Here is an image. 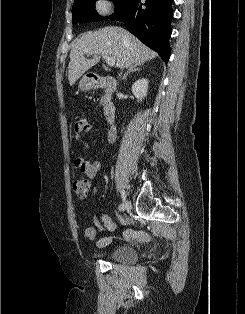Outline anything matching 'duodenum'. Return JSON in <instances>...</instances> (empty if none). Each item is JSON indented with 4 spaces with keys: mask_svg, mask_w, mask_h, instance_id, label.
<instances>
[{
    "mask_svg": "<svg viewBox=\"0 0 245 314\" xmlns=\"http://www.w3.org/2000/svg\"><path fill=\"white\" fill-rule=\"evenodd\" d=\"M116 85V80L110 75H94L91 78V86L93 88H105L108 91H112ZM104 114L106 121L110 127L115 124L116 107L115 105L107 101L104 107Z\"/></svg>",
    "mask_w": 245,
    "mask_h": 314,
    "instance_id": "410a0bca",
    "label": "duodenum"
}]
</instances>
